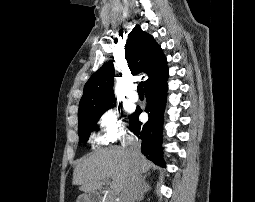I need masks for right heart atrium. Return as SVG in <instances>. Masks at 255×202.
Listing matches in <instances>:
<instances>
[{
	"instance_id": "1",
	"label": "right heart atrium",
	"mask_w": 255,
	"mask_h": 202,
	"mask_svg": "<svg viewBox=\"0 0 255 202\" xmlns=\"http://www.w3.org/2000/svg\"><path fill=\"white\" fill-rule=\"evenodd\" d=\"M101 130L100 142L103 144L114 143L126 134V125L121 112L113 107L105 109L99 116Z\"/></svg>"
}]
</instances>
